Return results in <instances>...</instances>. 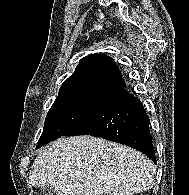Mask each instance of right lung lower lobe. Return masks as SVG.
Segmentation results:
<instances>
[{"label":"right lung lower lobe","mask_w":189,"mask_h":195,"mask_svg":"<svg viewBox=\"0 0 189 195\" xmlns=\"http://www.w3.org/2000/svg\"><path fill=\"white\" fill-rule=\"evenodd\" d=\"M150 121L140 100L124 88L107 96L75 129L64 136L91 135L135 148L156 164Z\"/></svg>","instance_id":"98d812e1"}]
</instances>
